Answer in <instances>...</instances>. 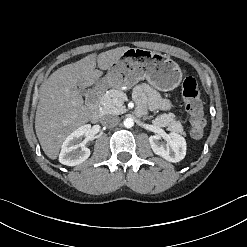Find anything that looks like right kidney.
I'll return each mask as SVG.
<instances>
[{
	"label": "right kidney",
	"mask_w": 247,
	"mask_h": 247,
	"mask_svg": "<svg viewBox=\"0 0 247 247\" xmlns=\"http://www.w3.org/2000/svg\"><path fill=\"white\" fill-rule=\"evenodd\" d=\"M91 126L84 125L67 136L62 144L59 154V162L67 166H76L84 162L90 156V149L81 145L83 137L89 135Z\"/></svg>",
	"instance_id": "ca27d5eb"
}]
</instances>
